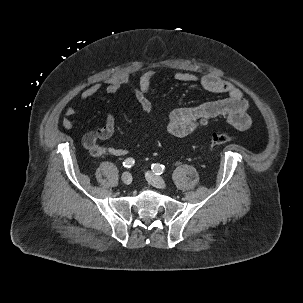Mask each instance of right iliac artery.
I'll use <instances>...</instances> for the list:
<instances>
[{
  "mask_svg": "<svg viewBox=\"0 0 303 303\" xmlns=\"http://www.w3.org/2000/svg\"><path fill=\"white\" fill-rule=\"evenodd\" d=\"M135 160L133 158H127L124 162H123V166L126 168H130L134 165Z\"/></svg>",
  "mask_w": 303,
  "mask_h": 303,
  "instance_id": "1",
  "label": "right iliac artery"
}]
</instances>
